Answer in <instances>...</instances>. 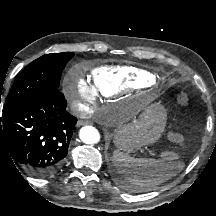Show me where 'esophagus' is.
Segmentation results:
<instances>
[{"label":"esophagus","mask_w":216,"mask_h":216,"mask_svg":"<svg viewBox=\"0 0 216 216\" xmlns=\"http://www.w3.org/2000/svg\"><path fill=\"white\" fill-rule=\"evenodd\" d=\"M90 121H85V120H79L77 121V126H82V125H86V124H89Z\"/></svg>","instance_id":"1"}]
</instances>
